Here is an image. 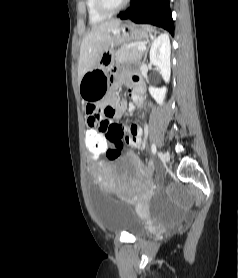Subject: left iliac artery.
Listing matches in <instances>:
<instances>
[{"label":"left iliac artery","mask_w":238,"mask_h":278,"mask_svg":"<svg viewBox=\"0 0 238 278\" xmlns=\"http://www.w3.org/2000/svg\"><path fill=\"white\" fill-rule=\"evenodd\" d=\"M151 150L153 154L156 153V145L154 143L151 145Z\"/></svg>","instance_id":"obj_1"}]
</instances>
